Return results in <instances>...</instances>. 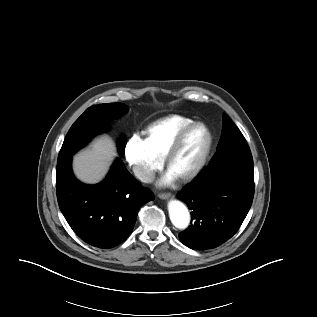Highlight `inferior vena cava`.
Here are the masks:
<instances>
[{
	"label": "inferior vena cava",
	"instance_id": "1",
	"mask_svg": "<svg viewBox=\"0 0 317 317\" xmlns=\"http://www.w3.org/2000/svg\"><path fill=\"white\" fill-rule=\"evenodd\" d=\"M135 176L144 183H151L155 179V174L151 170H145L140 167H135Z\"/></svg>",
	"mask_w": 317,
	"mask_h": 317
}]
</instances>
